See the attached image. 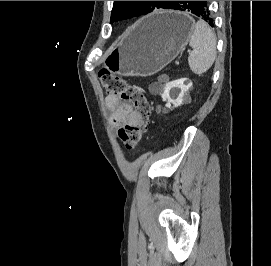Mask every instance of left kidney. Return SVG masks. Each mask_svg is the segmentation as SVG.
<instances>
[{"label": "left kidney", "instance_id": "obj_1", "mask_svg": "<svg viewBox=\"0 0 271 266\" xmlns=\"http://www.w3.org/2000/svg\"><path fill=\"white\" fill-rule=\"evenodd\" d=\"M190 87L189 83L185 84V79H178L172 82H169L165 88L164 93L162 94L163 101H167L166 106L171 108V104L173 107H178L182 104L184 94L188 91ZM177 89L180 90L179 94L174 98L170 95V92H175Z\"/></svg>", "mask_w": 271, "mask_h": 266}]
</instances>
